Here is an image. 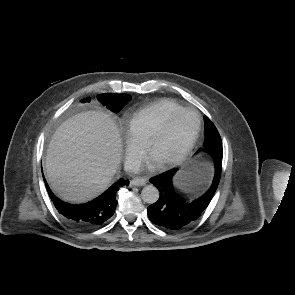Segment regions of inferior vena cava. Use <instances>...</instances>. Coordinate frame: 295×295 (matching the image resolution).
<instances>
[{
    "mask_svg": "<svg viewBox=\"0 0 295 295\" xmlns=\"http://www.w3.org/2000/svg\"><path fill=\"white\" fill-rule=\"evenodd\" d=\"M125 170L137 173L140 170V163L137 161H128L126 163Z\"/></svg>",
    "mask_w": 295,
    "mask_h": 295,
    "instance_id": "inferior-vena-cava-1",
    "label": "inferior vena cava"
}]
</instances>
